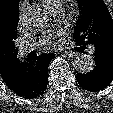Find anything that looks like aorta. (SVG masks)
Listing matches in <instances>:
<instances>
[{
	"label": "aorta",
	"instance_id": "762f6f07",
	"mask_svg": "<svg viewBox=\"0 0 113 113\" xmlns=\"http://www.w3.org/2000/svg\"><path fill=\"white\" fill-rule=\"evenodd\" d=\"M41 14V15H40ZM26 17L31 18L33 20H42L43 22H47L48 17L45 13H42L35 9H30L26 13ZM95 61L94 58L87 54H79L74 58L73 67L80 74H86L91 72L94 69Z\"/></svg>",
	"mask_w": 113,
	"mask_h": 113
}]
</instances>
